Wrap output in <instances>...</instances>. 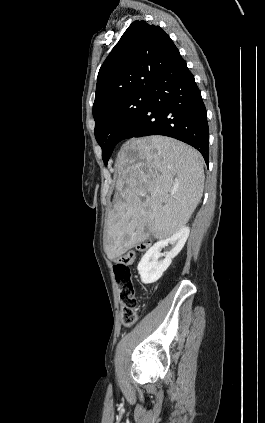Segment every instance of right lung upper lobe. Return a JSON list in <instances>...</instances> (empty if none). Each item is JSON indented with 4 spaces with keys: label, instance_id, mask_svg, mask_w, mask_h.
<instances>
[{
    "label": "right lung upper lobe",
    "instance_id": "obj_1",
    "mask_svg": "<svg viewBox=\"0 0 265 423\" xmlns=\"http://www.w3.org/2000/svg\"><path fill=\"white\" fill-rule=\"evenodd\" d=\"M178 53L162 28L145 21L133 22L99 70L94 119L121 99L150 90Z\"/></svg>",
    "mask_w": 265,
    "mask_h": 423
}]
</instances>
